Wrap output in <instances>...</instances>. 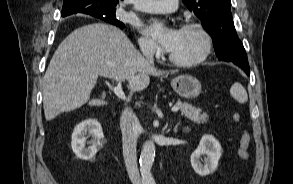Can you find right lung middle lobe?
<instances>
[{
	"label": "right lung middle lobe",
	"instance_id": "dd1d6c3e",
	"mask_svg": "<svg viewBox=\"0 0 293 184\" xmlns=\"http://www.w3.org/2000/svg\"><path fill=\"white\" fill-rule=\"evenodd\" d=\"M93 11L98 15V17L104 18L103 15H105V19L118 21L117 19H115L116 15L114 9H100L97 6H94Z\"/></svg>",
	"mask_w": 293,
	"mask_h": 184
}]
</instances>
